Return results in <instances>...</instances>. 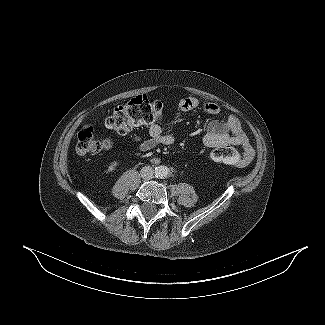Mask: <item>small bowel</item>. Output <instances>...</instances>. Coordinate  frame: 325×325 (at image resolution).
<instances>
[{"instance_id":"obj_1","label":"small bowel","mask_w":325,"mask_h":325,"mask_svg":"<svg viewBox=\"0 0 325 325\" xmlns=\"http://www.w3.org/2000/svg\"><path fill=\"white\" fill-rule=\"evenodd\" d=\"M178 107L181 111L202 108L204 112L210 115H218L221 112L218 104L212 102L201 103L197 98L192 97L182 99ZM132 140L141 151H148L159 145L169 146L176 143V137L166 127L158 124H152L149 127V135L147 137L134 136ZM202 142L210 148L228 144L241 147L242 158L238 164L239 166L249 163L254 157V150L249 143L241 122L233 115L228 116L224 120L210 121L206 126Z\"/></svg>"}]
</instances>
